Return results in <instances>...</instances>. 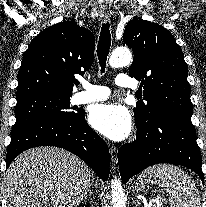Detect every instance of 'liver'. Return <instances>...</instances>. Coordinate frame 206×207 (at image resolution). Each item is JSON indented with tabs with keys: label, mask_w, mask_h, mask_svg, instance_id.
I'll return each mask as SVG.
<instances>
[{
	"label": "liver",
	"mask_w": 206,
	"mask_h": 207,
	"mask_svg": "<svg viewBox=\"0 0 206 207\" xmlns=\"http://www.w3.org/2000/svg\"><path fill=\"white\" fill-rule=\"evenodd\" d=\"M93 177L82 160L65 150L29 149L6 172L8 207H78Z\"/></svg>",
	"instance_id": "1"
}]
</instances>
